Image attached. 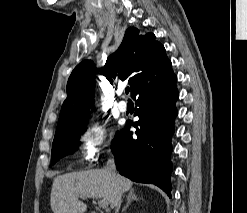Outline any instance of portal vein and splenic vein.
<instances>
[{"label":"portal vein and splenic vein","mask_w":247,"mask_h":213,"mask_svg":"<svg viewBox=\"0 0 247 213\" xmlns=\"http://www.w3.org/2000/svg\"><path fill=\"white\" fill-rule=\"evenodd\" d=\"M98 205L101 208H107L108 207V202L105 199L98 200Z\"/></svg>","instance_id":"portal-vein-and-splenic-vein-1"}]
</instances>
